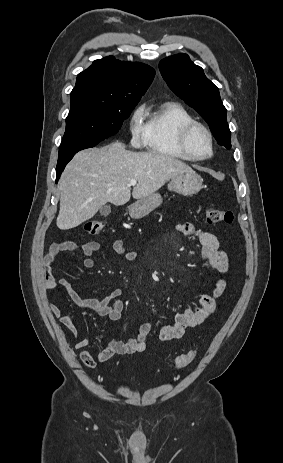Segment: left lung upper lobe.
<instances>
[{"label": "left lung upper lobe", "mask_w": 283, "mask_h": 463, "mask_svg": "<svg viewBox=\"0 0 283 463\" xmlns=\"http://www.w3.org/2000/svg\"><path fill=\"white\" fill-rule=\"evenodd\" d=\"M159 70L170 89L193 107L208 123L218 144L231 148V132L218 88L187 54L167 57Z\"/></svg>", "instance_id": "left-lung-upper-lobe-1"}]
</instances>
